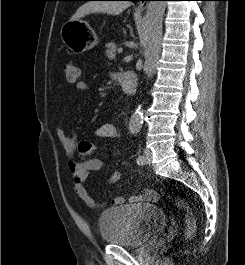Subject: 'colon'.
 Listing matches in <instances>:
<instances>
[{"mask_svg":"<svg viewBox=\"0 0 245 265\" xmlns=\"http://www.w3.org/2000/svg\"><path fill=\"white\" fill-rule=\"evenodd\" d=\"M65 77L68 82L75 83L79 78V69L73 62H65L63 64ZM95 145L87 140L81 141L78 144V152L82 157H90L95 153ZM170 202L178 209L185 212V238L190 239L196 231V221L186 203V201L177 195H167Z\"/></svg>","mask_w":245,"mask_h":265,"instance_id":"1","label":"colon"}]
</instances>
